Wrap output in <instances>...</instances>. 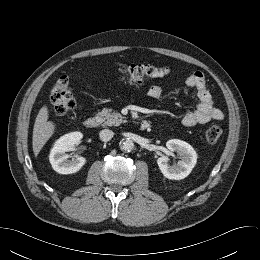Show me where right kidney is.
I'll use <instances>...</instances> for the list:
<instances>
[{"label": "right kidney", "instance_id": "1", "mask_svg": "<svg viewBox=\"0 0 260 260\" xmlns=\"http://www.w3.org/2000/svg\"><path fill=\"white\" fill-rule=\"evenodd\" d=\"M83 135L80 132H72L60 137L54 144L49 155V161L52 168L60 174H72L79 171L86 163V159L77 156L75 159L69 160L66 154L72 151L75 145L80 143Z\"/></svg>", "mask_w": 260, "mask_h": 260}]
</instances>
